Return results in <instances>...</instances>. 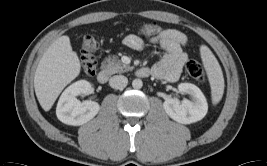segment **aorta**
<instances>
[{
    "label": "aorta",
    "mask_w": 267,
    "mask_h": 166,
    "mask_svg": "<svg viewBox=\"0 0 267 166\" xmlns=\"http://www.w3.org/2000/svg\"><path fill=\"white\" fill-rule=\"evenodd\" d=\"M142 86H143V82H142L141 79H134V80L132 81V87H133L134 89H140V88H142Z\"/></svg>",
    "instance_id": "1"
}]
</instances>
